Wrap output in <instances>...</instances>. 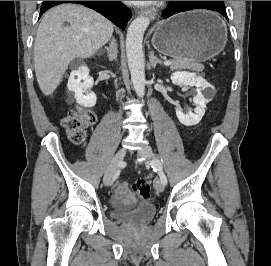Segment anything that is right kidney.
Returning <instances> with one entry per match:
<instances>
[{
    "label": "right kidney",
    "mask_w": 271,
    "mask_h": 266,
    "mask_svg": "<svg viewBox=\"0 0 271 266\" xmlns=\"http://www.w3.org/2000/svg\"><path fill=\"white\" fill-rule=\"evenodd\" d=\"M94 84L93 78L89 75V69L81 66L73 70L68 79V90L74 93L76 102L84 107H93L96 104L97 97L90 91Z\"/></svg>",
    "instance_id": "right-kidney-1"
}]
</instances>
